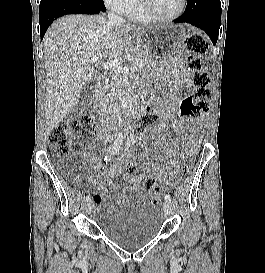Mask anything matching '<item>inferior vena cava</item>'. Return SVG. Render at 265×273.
<instances>
[{
  "label": "inferior vena cava",
  "mask_w": 265,
  "mask_h": 273,
  "mask_svg": "<svg viewBox=\"0 0 265 273\" xmlns=\"http://www.w3.org/2000/svg\"><path fill=\"white\" fill-rule=\"evenodd\" d=\"M107 20L111 25L123 24L125 22V20L122 17L118 16L114 12L108 13ZM104 127H105L106 131L110 130V125H109L108 120H106Z\"/></svg>",
  "instance_id": "inferior-vena-cava-1"
}]
</instances>
